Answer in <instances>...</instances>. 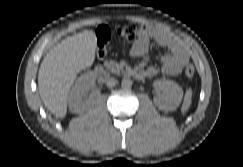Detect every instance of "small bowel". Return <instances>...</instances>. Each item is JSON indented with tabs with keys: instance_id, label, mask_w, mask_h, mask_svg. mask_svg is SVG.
Segmentation results:
<instances>
[{
	"instance_id": "1",
	"label": "small bowel",
	"mask_w": 243,
	"mask_h": 167,
	"mask_svg": "<svg viewBox=\"0 0 243 167\" xmlns=\"http://www.w3.org/2000/svg\"><path fill=\"white\" fill-rule=\"evenodd\" d=\"M153 39L159 46L168 49V53L161 59L160 71L167 76H173L181 72L189 60L186 46L167 31L161 28H146V31L138 36L132 44L130 54L134 58H141L148 51L149 41ZM159 69L150 66L137 73L138 77H154Z\"/></svg>"
}]
</instances>
